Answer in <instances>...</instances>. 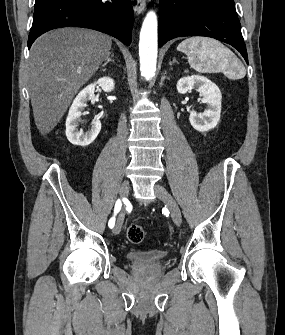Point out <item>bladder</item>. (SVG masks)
<instances>
[{"label": "bladder", "instance_id": "31cf9c89", "mask_svg": "<svg viewBox=\"0 0 285 335\" xmlns=\"http://www.w3.org/2000/svg\"><path fill=\"white\" fill-rule=\"evenodd\" d=\"M168 252L156 249L126 251L125 257L134 266H157L164 264L167 260Z\"/></svg>", "mask_w": 285, "mask_h": 335}]
</instances>
